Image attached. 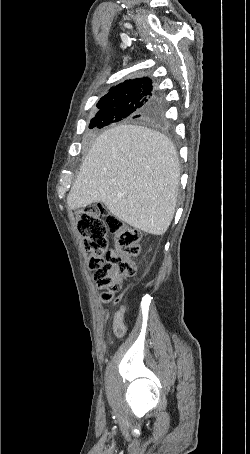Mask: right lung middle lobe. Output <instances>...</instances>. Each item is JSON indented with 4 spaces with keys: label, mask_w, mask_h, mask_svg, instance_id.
<instances>
[{
    "label": "right lung middle lobe",
    "mask_w": 250,
    "mask_h": 454,
    "mask_svg": "<svg viewBox=\"0 0 250 454\" xmlns=\"http://www.w3.org/2000/svg\"><path fill=\"white\" fill-rule=\"evenodd\" d=\"M160 99L152 85H142L110 98L100 99L99 111L91 119L89 128H102L121 120H138L159 123L162 118L156 115L153 104Z\"/></svg>",
    "instance_id": "right-lung-middle-lobe-1"
}]
</instances>
